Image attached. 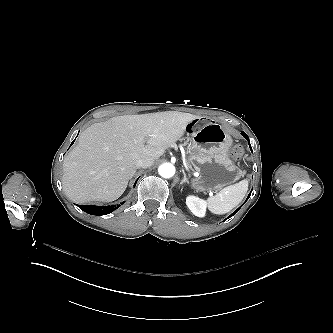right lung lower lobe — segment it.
Segmentation results:
<instances>
[{
    "mask_svg": "<svg viewBox=\"0 0 333 333\" xmlns=\"http://www.w3.org/2000/svg\"><path fill=\"white\" fill-rule=\"evenodd\" d=\"M75 141V140H74ZM73 141V142H74ZM72 142V144H73ZM71 144V145H72ZM137 182V181H136ZM135 182V185H136ZM120 205L118 206H93V205H79V207L85 211L88 214L91 215H97V216H101V215H105V214H109L111 212H113L115 209H117Z\"/></svg>",
    "mask_w": 333,
    "mask_h": 333,
    "instance_id": "1",
    "label": "right lung lower lobe"
}]
</instances>
